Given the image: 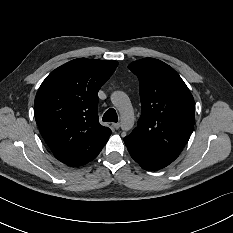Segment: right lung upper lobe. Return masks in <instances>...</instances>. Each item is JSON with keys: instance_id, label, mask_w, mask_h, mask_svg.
Instances as JSON below:
<instances>
[{"instance_id": "obj_1", "label": "right lung upper lobe", "mask_w": 233, "mask_h": 233, "mask_svg": "<svg viewBox=\"0 0 233 233\" xmlns=\"http://www.w3.org/2000/svg\"><path fill=\"white\" fill-rule=\"evenodd\" d=\"M118 65L113 60H72L52 71L34 102L36 123L56 159L71 166L93 160L111 135L98 121V91Z\"/></svg>"}]
</instances>
